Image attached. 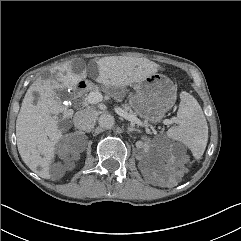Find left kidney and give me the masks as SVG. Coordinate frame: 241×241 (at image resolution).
Segmentation results:
<instances>
[{"instance_id": "5707ae66", "label": "left kidney", "mask_w": 241, "mask_h": 241, "mask_svg": "<svg viewBox=\"0 0 241 241\" xmlns=\"http://www.w3.org/2000/svg\"><path fill=\"white\" fill-rule=\"evenodd\" d=\"M152 147H156L155 144H149V145H148V147H147V152H148V154H151V152H154V151L152 150Z\"/></svg>"}]
</instances>
